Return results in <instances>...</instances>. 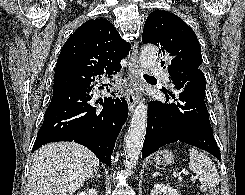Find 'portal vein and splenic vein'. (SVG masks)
I'll return each instance as SVG.
<instances>
[{"label": "portal vein and splenic vein", "mask_w": 245, "mask_h": 195, "mask_svg": "<svg viewBox=\"0 0 245 195\" xmlns=\"http://www.w3.org/2000/svg\"><path fill=\"white\" fill-rule=\"evenodd\" d=\"M197 177L196 176H192V181H196Z\"/></svg>", "instance_id": "18ae733b"}]
</instances>
